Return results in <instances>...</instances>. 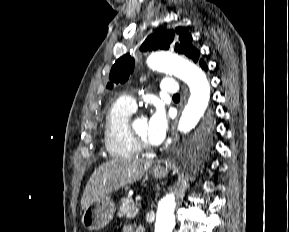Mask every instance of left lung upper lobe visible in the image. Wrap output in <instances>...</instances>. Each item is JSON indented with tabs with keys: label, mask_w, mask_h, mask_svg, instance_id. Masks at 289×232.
Instances as JSON below:
<instances>
[{
	"label": "left lung upper lobe",
	"mask_w": 289,
	"mask_h": 232,
	"mask_svg": "<svg viewBox=\"0 0 289 232\" xmlns=\"http://www.w3.org/2000/svg\"><path fill=\"white\" fill-rule=\"evenodd\" d=\"M173 48L179 54H184L194 62H198L200 52L192 46V36L181 27L175 30H165L150 35L141 45V51ZM135 60L130 54H125L116 60L112 66L107 88L113 84L124 83L133 73Z\"/></svg>",
	"instance_id": "left-lung-upper-lobe-1"
}]
</instances>
